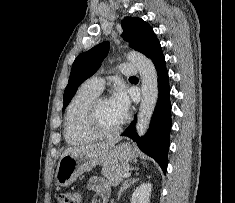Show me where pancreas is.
Segmentation results:
<instances>
[{
    "instance_id": "obj_1",
    "label": "pancreas",
    "mask_w": 235,
    "mask_h": 203,
    "mask_svg": "<svg viewBox=\"0 0 235 203\" xmlns=\"http://www.w3.org/2000/svg\"><path fill=\"white\" fill-rule=\"evenodd\" d=\"M128 169V164L110 165L103 167L102 174L109 184L117 185L123 181V175L128 171Z\"/></svg>"
}]
</instances>
